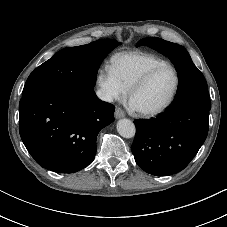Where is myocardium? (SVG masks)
<instances>
[{"mask_svg":"<svg viewBox=\"0 0 227 227\" xmlns=\"http://www.w3.org/2000/svg\"><path fill=\"white\" fill-rule=\"evenodd\" d=\"M165 68H169L171 69L174 74H175V86L174 89L171 93V95L169 96V98L166 100V102L164 104H162L160 107L152 109V110H140L135 108L132 105V98L135 95L136 92H138L140 89H142L150 80L151 78L158 73L159 71L165 69ZM180 74L178 72V70L176 69L175 66H173L170 63H166V64H162L159 66H156L152 69H150L149 71H147L143 76H141L130 88H129V92H128V99L129 102L131 104V106L134 108V110L141 116L143 117H155L158 116L162 113H164L174 102L177 93L179 91L180 88Z\"/></svg>","mask_w":227,"mask_h":227,"instance_id":"obj_1","label":"myocardium"}]
</instances>
